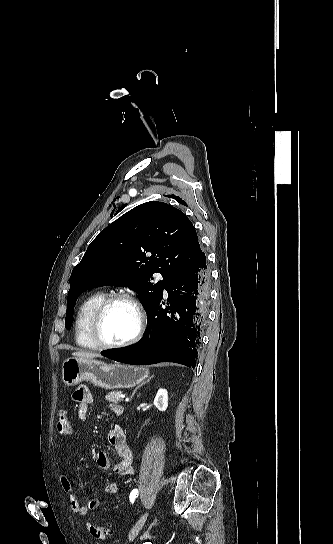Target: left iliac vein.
<instances>
[{
  "label": "left iliac vein",
  "mask_w": 333,
  "mask_h": 544,
  "mask_svg": "<svg viewBox=\"0 0 333 544\" xmlns=\"http://www.w3.org/2000/svg\"><path fill=\"white\" fill-rule=\"evenodd\" d=\"M148 517V512H145L137 521V523L135 524V526L132 528L130 534H129V541H133L136 536L138 535V533L140 532V530L142 529L143 525L145 524L146 522V519Z\"/></svg>",
  "instance_id": "obj_1"
}]
</instances>
